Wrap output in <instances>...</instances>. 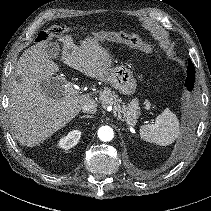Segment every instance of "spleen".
<instances>
[{"label": "spleen", "mask_w": 211, "mask_h": 211, "mask_svg": "<svg viewBox=\"0 0 211 211\" xmlns=\"http://www.w3.org/2000/svg\"><path fill=\"white\" fill-rule=\"evenodd\" d=\"M179 133V121L169 108L156 117L154 124H146L140 128L143 140L160 146L172 144Z\"/></svg>", "instance_id": "obj_1"}]
</instances>
